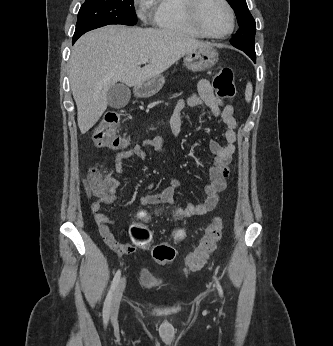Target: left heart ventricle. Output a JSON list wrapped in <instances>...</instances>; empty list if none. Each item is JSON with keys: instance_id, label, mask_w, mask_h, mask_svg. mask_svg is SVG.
<instances>
[{"instance_id": "b2bd125f", "label": "left heart ventricle", "mask_w": 333, "mask_h": 346, "mask_svg": "<svg viewBox=\"0 0 333 346\" xmlns=\"http://www.w3.org/2000/svg\"><path fill=\"white\" fill-rule=\"evenodd\" d=\"M200 18L207 31L222 34L229 29L230 18L219 0H206L200 10Z\"/></svg>"}]
</instances>
